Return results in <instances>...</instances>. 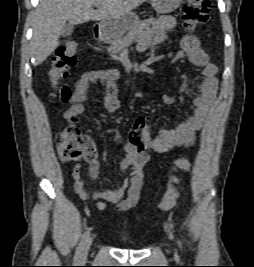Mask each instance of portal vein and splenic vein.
I'll use <instances>...</instances> for the list:
<instances>
[{"mask_svg":"<svg viewBox=\"0 0 254 267\" xmlns=\"http://www.w3.org/2000/svg\"><path fill=\"white\" fill-rule=\"evenodd\" d=\"M95 6H96V7H99V4H98V3H96V4H95Z\"/></svg>","mask_w":254,"mask_h":267,"instance_id":"obj_1","label":"portal vein and splenic vein"}]
</instances>
